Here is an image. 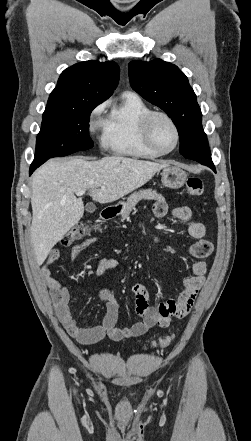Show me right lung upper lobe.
<instances>
[{
	"label": "right lung upper lobe",
	"instance_id": "1",
	"mask_svg": "<svg viewBox=\"0 0 251 441\" xmlns=\"http://www.w3.org/2000/svg\"><path fill=\"white\" fill-rule=\"evenodd\" d=\"M119 74V66L113 61L77 63L61 73L47 105H74L91 97L106 100L116 88Z\"/></svg>",
	"mask_w": 251,
	"mask_h": 441
}]
</instances>
